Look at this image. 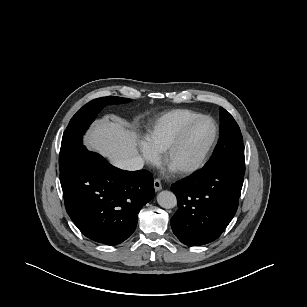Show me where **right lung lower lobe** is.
Wrapping results in <instances>:
<instances>
[{
  "label": "right lung lower lobe",
  "mask_w": 307,
  "mask_h": 307,
  "mask_svg": "<svg viewBox=\"0 0 307 307\" xmlns=\"http://www.w3.org/2000/svg\"><path fill=\"white\" fill-rule=\"evenodd\" d=\"M68 215L89 239L117 245L134 232L140 209L155 195L147 170L125 172L83 147L60 171Z\"/></svg>",
  "instance_id": "obj_1"
}]
</instances>
